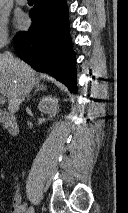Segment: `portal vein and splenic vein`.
<instances>
[{"label":"portal vein and splenic vein","mask_w":128,"mask_h":213,"mask_svg":"<svg viewBox=\"0 0 128 213\" xmlns=\"http://www.w3.org/2000/svg\"><path fill=\"white\" fill-rule=\"evenodd\" d=\"M5 102H6L5 97L0 95V104H4Z\"/></svg>","instance_id":"obj_1"}]
</instances>
